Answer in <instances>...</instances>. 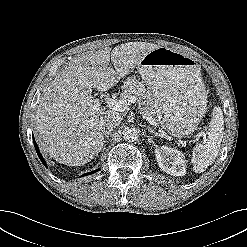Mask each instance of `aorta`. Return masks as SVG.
<instances>
[{
  "label": "aorta",
  "instance_id": "1",
  "mask_svg": "<svg viewBox=\"0 0 247 247\" xmlns=\"http://www.w3.org/2000/svg\"><path fill=\"white\" fill-rule=\"evenodd\" d=\"M139 133L135 128H125L123 131V139L128 142H133L137 140Z\"/></svg>",
  "mask_w": 247,
  "mask_h": 247
}]
</instances>
